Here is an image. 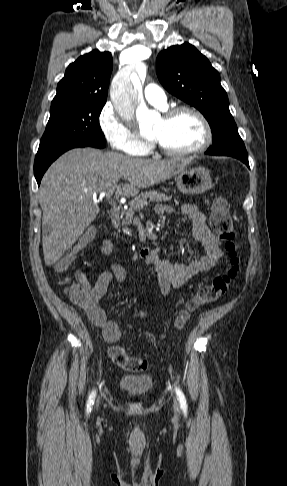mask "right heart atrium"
I'll return each mask as SVG.
<instances>
[{"instance_id":"1","label":"right heart atrium","mask_w":287,"mask_h":486,"mask_svg":"<svg viewBox=\"0 0 287 486\" xmlns=\"http://www.w3.org/2000/svg\"><path fill=\"white\" fill-rule=\"evenodd\" d=\"M98 124L113 149L130 155L147 150L148 144L120 117L110 103H106L101 109Z\"/></svg>"}]
</instances>
